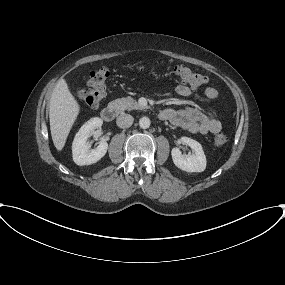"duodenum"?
<instances>
[{
  "label": "duodenum",
  "instance_id": "obj_1",
  "mask_svg": "<svg viewBox=\"0 0 285 285\" xmlns=\"http://www.w3.org/2000/svg\"><path fill=\"white\" fill-rule=\"evenodd\" d=\"M119 113V108L116 104H108L101 111V117L104 121H112L114 120ZM161 115V113H160Z\"/></svg>",
  "mask_w": 285,
  "mask_h": 285
}]
</instances>
